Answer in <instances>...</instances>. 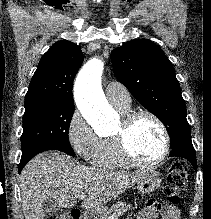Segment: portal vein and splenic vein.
<instances>
[{"mask_svg":"<svg viewBox=\"0 0 211 219\" xmlns=\"http://www.w3.org/2000/svg\"><path fill=\"white\" fill-rule=\"evenodd\" d=\"M78 198L80 200H84L86 198V194L85 193L78 194Z\"/></svg>","mask_w":211,"mask_h":219,"instance_id":"obj_1","label":"portal vein and splenic vein"}]
</instances>
